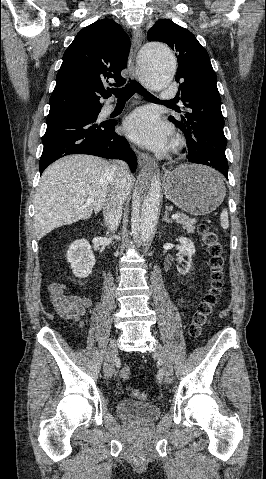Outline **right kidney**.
<instances>
[{
  "mask_svg": "<svg viewBox=\"0 0 266 479\" xmlns=\"http://www.w3.org/2000/svg\"><path fill=\"white\" fill-rule=\"evenodd\" d=\"M73 274L78 278H86L92 272L95 265V256L86 239L73 242L66 253Z\"/></svg>",
  "mask_w": 266,
  "mask_h": 479,
  "instance_id": "ca27d5eb",
  "label": "right kidney"
}]
</instances>
